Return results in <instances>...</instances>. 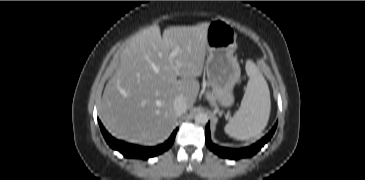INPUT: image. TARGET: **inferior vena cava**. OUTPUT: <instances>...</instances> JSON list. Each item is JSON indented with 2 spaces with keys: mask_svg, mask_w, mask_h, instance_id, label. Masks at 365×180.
<instances>
[{
  "mask_svg": "<svg viewBox=\"0 0 365 180\" xmlns=\"http://www.w3.org/2000/svg\"><path fill=\"white\" fill-rule=\"evenodd\" d=\"M173 109L177 116H180L187 111V104L182 97H177L174 100Z\"/></svg>",
  "mask_w": 365,
  "mask_h": 180,
  "instance_id": "602c4592",
  "label": "inferior vena cava"
}]
</instances>
